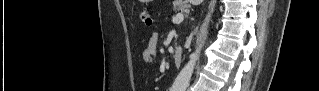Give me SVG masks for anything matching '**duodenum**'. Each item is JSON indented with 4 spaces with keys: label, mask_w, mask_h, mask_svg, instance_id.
Segmentation results:
<instances>
[{
    "label": "duodenum",
    "mask_w": 319,
    "mask_h": 91,
    "mask_svg": "<svg viewBox=\"0 0 319 91\" xmlns=\"http://www.w3.org/2000/svg\"><path fill=\"white\" fill-rule=\"evenodd\" d=\"M182 55H183L182 49L179 47H175L173 50V57H174L175 64L177 66H180L182 63Z\"/></svg>",
    "instance_id": "duodenum-1"
}]
</instances>
